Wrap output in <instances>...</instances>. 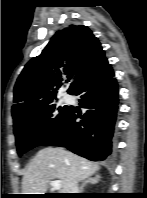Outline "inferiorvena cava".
Wrapping results in <instances>:
<instances>
[{"instance_id":"1","label":"inferior vena cava","mask_w":147,"mask_h":198,"mask_svg":"<svg viewBox=\"0 0 147 198\" xmlns=\"http://www.w3.org/2000/svg\"><path fill=\"white\" fill-rule=\"evenodd\" d=\"M70 193H79V188L77 185V181L75 179H72L71 187H70Z\"/></svg>"}]
</instances>
